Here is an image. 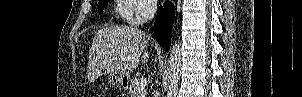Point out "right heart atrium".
<instances>
[{
  "label": "right heart atrium",
  "mask_w": 302,
  "mask_h": 97,
  "mask_svg": "<svg viewBox=\"0 0 302 97\" xmlns=\"http://www.w3.org/2000/svg\"><path fill=\"white\" fill-rule=\"evenodd\" d=\"M132 3L133 10L127 17V20L134 25H141L149 19L154 13V5L146 0H128Z\"/></svg>",
  "instance_id": "obj_1"
}]
</instances>
